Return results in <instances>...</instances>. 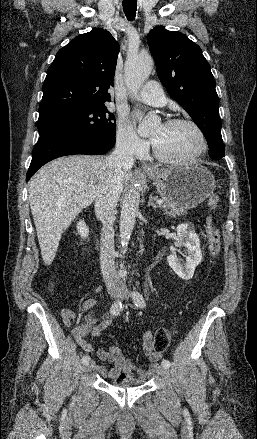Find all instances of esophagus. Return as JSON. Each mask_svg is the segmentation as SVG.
<instances>
[{
    "mask_svg": "<svg viewBox=\"0 0 257 439\" xmlns=\"http://www.w3.org/2000/svg\"><path fill=\"white\" fill-rule=\"evenodd\" d=\"M142 167H143L144 170H153L154 169L153 166H151V165H149L147 163H143Z\"/></svg>",
    "mask_w": 257,
    "mask_h": 439,
    "instance_id": "obj_1",
    "label": "esophagus"
}]
</instances>
